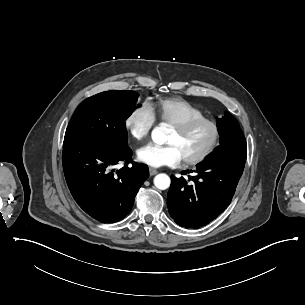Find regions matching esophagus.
Masks as SVG:
<instances>
[{
    "mask_svg": "<svg viewBox=\"0 0 305 305\" xmlns=\"http://www.w3.org/2000/svg\"><path fill=\"white\" fill-rule=\"evenodd\" d=\"M158 173V171L152 167H149V174L151 176L156 175Z\"/></svg>",
    "mask_w": 305,
    "mask_h": 305,
    "instance_id": "1",
    "label": "esophagus"
}]
</instances>
